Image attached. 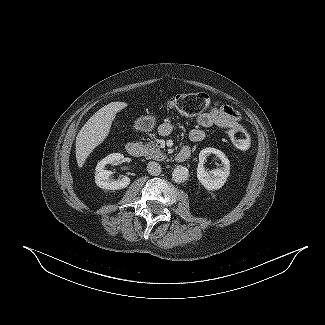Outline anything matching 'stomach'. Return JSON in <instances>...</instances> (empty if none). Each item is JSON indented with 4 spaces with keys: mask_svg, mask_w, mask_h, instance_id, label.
Instances as JSON below:
<instances>
[{
    "mask_svg": "<svg viewBox=\"0 0 325 325\" xmlns=\"http://www.w3.org/2000/svg\"><path fill=\"white\" fill-rule=\"evenodd\" d=\"M156 125V119L153 116H143L135 122V129L141 132H150Z\"/></svg>",
    "mask_w": 325,
    "mask_h": 325,
    "instance_id": "stomach-1",
    "label": "stomach"
}]
</instances>
